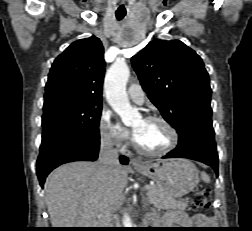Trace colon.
<instances>
[{"label":"colon","instance_id":"obj_1","mask_svg":"<svg viewBox=\"0 0 252 231\" xmlns=\"http://www.w3.org/2000/svg\"><path fill=\"white\" fill-rule=\"evenodd\" d=\"M211 198L212 193L210 189L204 188L198 190L191 202V209L195 211L208 209L211 205Z\"/></svg>","mask_w":252,"mask_h":231}]
</instances>
